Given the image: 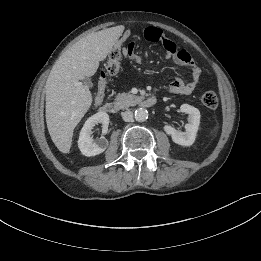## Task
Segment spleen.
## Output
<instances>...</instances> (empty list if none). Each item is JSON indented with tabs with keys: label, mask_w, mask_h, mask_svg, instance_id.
Wrapping results in <instances>:
<instances>
[{
	"label": "spleen",
	"mask_w": 261,
	"mask_h": 261,
	"mask_svg": "<svg viewBox=\"0 0 261 261\" xmlns=\"http://www.w3.org/2000/svg\"><path fill=\"white\" fill-rule=\"evenodd\" d=\"M216 129H217L216 127L213 129L212 134L216 131Z\"/></svg>",
	"instance_id": "obj_1"
}]
</instances>
